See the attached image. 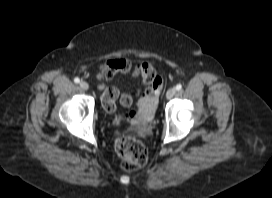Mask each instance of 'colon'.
Returning a JSON list of instances; mask_svg holds the SVG:
<instances>
[{
	"label": "colon",
	"instance_id": "obj_1",
	"mask_svg": "<svg viewBox=\"0 0 272 198\" xmlns=\"http://www.w3.org/2000/svg\"><path fill=\"white\" fill-rule=\"evenodd\" d=\"M102 78L107 79L112 76L110 66L102 70ZM139 117V109L131 111L127 116H121L119 122L134 123ZM115 149L122 159V168L125 171H135L143 167L148 161L147 150L143 144L132 137H120L115 142Z\"/></svg>",
	"mask_w": 272,
	"mask_h": 198
}]
</instances>
